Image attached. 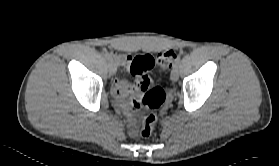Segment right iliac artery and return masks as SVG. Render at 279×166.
Listing matches in <instances>:
<instances>
[{"label": "right iliac artery", "instance_id": "82829eb1", "mask_svg": "<svg viewBox=\"0 0 279 166\" xmlns=\"http://www.w3.org/2000/svg\"><path fill=\"white\" fill-rule=\"evenodd\" d=\"M104 57L106 58V60H108L109 62L113 61L111 55L109 53H104Z\"/></svg>", "mask_w": 279, "mask_h": 166}]
</instances>
